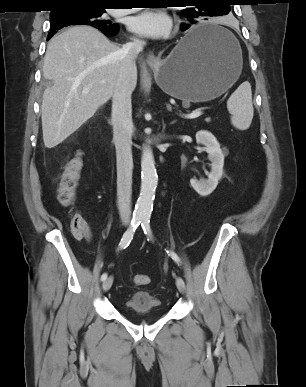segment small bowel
Here are the masks:
<instances>
[{
	"instance_id": "c3829d8e",
	"label": "small bowel",
	"mask_w": 306,
	"mask_h": 387,
	"mask_svg": "<svg viewBox=\"0 0 306 387\" xmlns=\"http://www.w3.org/2000/svg\"><path fill=\"white\" fill-rule=\"evenodd\" d=\"M86 239H87V240H90V239H91V234H90V233H88V235L86 236Z\"/></svg>"
}]
</instances>
